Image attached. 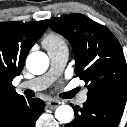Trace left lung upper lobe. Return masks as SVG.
<instances>
[{"instance_id": "5c2ea615", "label": "left lung upper lobe", "mask_w": 127, "mask_h": 127, "mask_svg": "<svg viewBox=\"0 0 127 127\" xmlns=\"http://www.w3.org/2000/svg\"><path fill=\"white\" fill-rule=\"evenodd\" d=\"M49 26L71 43L75 73L88 87L87 100L125 108L127 64L115 36L82 14L52 18Z\"/></svg>"}]
</instances>
